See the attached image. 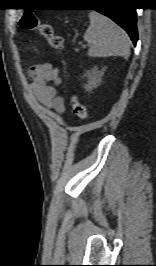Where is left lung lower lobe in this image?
Masks as SVG:
<instances>
[{
    "label": "left lung lower lobe",
    "mask_w": 156,
    "mask_h": 266,
    "mask_svg": "<svg viewBox=\"0 0 156 266\" xmlns=\"http://www.w3.org/2000/svg\"><path fill=\"white\" fill-rule=\"evenodd\" d=\"M111 2H114V0H89V4L95 6L91 9L104 14L115 21L120 27L127 31L134 45H136L138 39L136 9L129 7L124 0H119L120 4L117 6Z\"/></svg>",
    "instance_id": "obj_1"
}]
</instances>
